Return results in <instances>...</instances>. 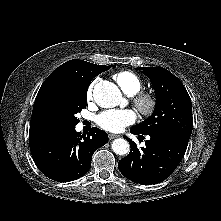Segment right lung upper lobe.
I'll use <instances>...</instances> for the list:
<instances>
[{
  "instance_id": "1",
  "label": "right lung upper lobe",
  "mask_w": 221,
  "mask_h": 221,
  "mask_svg": "<svg viewBox=\"0 0 221 221\" xmlns=\"http://www.w3.org/2000/svg\"><path fill=\"white\" fill-rule=\"evenodd\" d=\"M109 69V66L96 65L73 59L56 68L42 84L33 107L30 121V137L45 133L40 116L48 97L60 89L87 90L94 77Z\"/></svg>"
}]
</instances>
